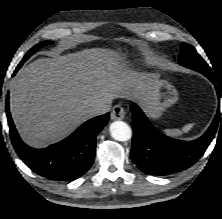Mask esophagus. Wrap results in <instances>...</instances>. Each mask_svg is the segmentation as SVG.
Masks as SVG:
<instances>
[{
    "label": "esophagus",
    "mask_w": 222,
    "mask_h": 219,
    "mask_svg": "<svg viewBox=\"0 0 222 219\" xmlns=\"http://www.w3.org/2000/svg\"><path fill=\"white\" fill-rule=\"evenodd\" d=\"M126 115V112L123 107L120 105H116L113 107L112 112H111V119L112 120H122L124 119Z\"/></svg>",
    "instance_id": "obj_1"
}]
</instances>
